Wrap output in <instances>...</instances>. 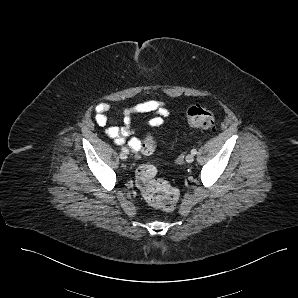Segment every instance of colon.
Here are the masks:
<instances>
[{
  "label": "colon",
  "mask_w": 298,
  "mask_h": 298,
  "mask_svg": "<svg viewBox=\"0 0 298 298\" xmlns=\"http://www.w3.org/2000/svg\"><path fill=\"white\" fill-rule=\"evenodd\" d=\"M187 122L191 127L212 129L215 125L213 113L205 106L194 105L187 111ZM156 148V140L152 133H146L140 145V152L151 154ZM157 169L154 164L147 163L136 170V184L145 200L153 207L165 211L175 208L179 192L167 181L157 178Z\"/></svg>",
  "instance_id": "5ec220e1"
}]
</instances>
